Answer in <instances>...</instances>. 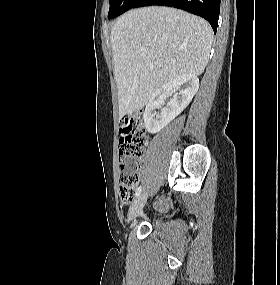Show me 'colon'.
<instances>
[{
	"label": "colon",
	"instance_id": "1",
	"mask_svg": "<svg viewBox=\"0 0 280 285\" xmlns=\"http://www.w3.org/2000/svg\"><path fill=\"white\" fill-rule=\"evenodd\" d=\"M119 196L123 203L134 199L138 183L137 164L142 159L146 143V128L141 112L123 117L119 128Z\"/></svg>",
	"mask_w": 280,
	"mask_h": 285
}]
</instances>
